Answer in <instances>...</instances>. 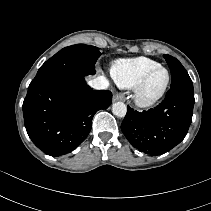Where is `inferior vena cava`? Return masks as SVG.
Returning <instances> with one entry per match:
<instances>
[{
  "instance_id": "inferior-vena-cava-1",
  "label": "inferior vena cava",
  "mask_w": 211,
  "mask_h": 211,
  "mask_svg": "<svg viewBox=\"0 0 211 211\" xmlns=\"http://www.w3.org/2000/svg\"><path fill=\"white\" fill-rule=\"evenodd\" d=\"M89 86L96 90H105L109 86L108 80L104 76L97 77L91 81H89Z\"/></svg>"
}]
</instances>
